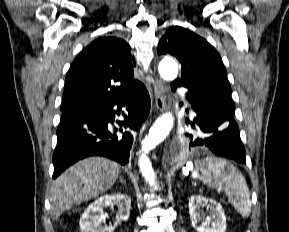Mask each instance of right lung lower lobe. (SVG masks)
Returning a JSON list of instances; mask_svg holds the SVG:
<instances>
[{
    "label": "right lung lower lobe",
    "mask_w": 289,
    "mask_h": 232,
    "mask_svg": "<svg viewBox=\"0 0 289 232\" xmlns=\"http://www.w3.org/2000/svg\"><path fill=\"white\" fill-rule=\"evenodd\" d=\"M117 107V109H116ZM125 107V120L120 126L130 131L116 133L108 128L115 115ZM150 110V98L141 84L129 96L113 103L86 108L69 115H62L57 129L58 143L53 154L56 178L66 168L80 159L89 156H104L125 165L133 143L132 131H138Z\"/></svg>",
    "instance_id": "1"
}]
</instances>
